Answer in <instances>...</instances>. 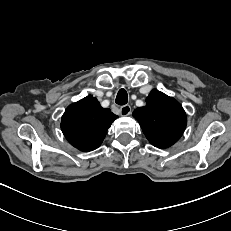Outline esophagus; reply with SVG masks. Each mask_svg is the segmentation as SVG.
<instances>
[{"mask_svg":"<svg viewBox=\"0 0 231 231\" xmlns=\"http://www.w3.org/2000/svg\"><path fill=\"white\" fill-rule=\"evenodd\" d=\"M120 114L122 116H128V115H130L131 114V106L128 105V104H126V105L120 107Z\"/></svg>","mask_w":231,"mask_h":231,"instance_id":"34e87169","label":"esophagus"}]
</instances>
